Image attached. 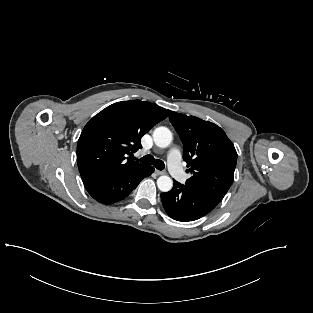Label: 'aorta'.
Segmentation results:
<instances>
[{
    "mask_svg": "<svg viewBox=\"0 0 313 313\" xmlns=\"http://www.w3.org/2000/svg\"><path fill=\"white\" fill-rule=\"evenodd\" d=\"M172 133L166 127H158L153 132L155 144L160 148H166L172 142ZM157 187L162 192H168L173 187V181L169 176H160L157 179Z\"/></svg>",
    "mask_w": 313,
    "mask_h": 313,
    "instance_id": "obj_1",
    "label": "aorta"
}]
</instances>
